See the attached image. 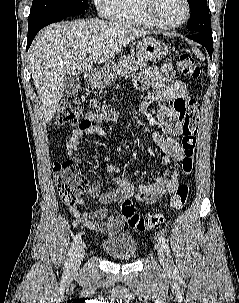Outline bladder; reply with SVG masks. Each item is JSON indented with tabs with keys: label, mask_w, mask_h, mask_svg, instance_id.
<instances>
[{
	"label": "bladder",
	"mask_w": 239,
	"mask_h": 303,
	"mask_svg": "<svg viewBox=\"0 0 239 303\" xmlns=\"http://www.w3.org/2000/svg\"><path fill=\"white\" fill-rule=\"evenodd\" d=\"M105 254L112 260L131 261L137 256V242L129 233H120L102 244Z\"/></svg>",
	"instance_id": "obj_1"
}]
</instances>
